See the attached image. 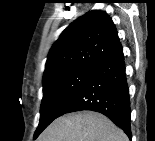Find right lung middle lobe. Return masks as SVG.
Listing matches in <instances>:
<instances>
[{"instance_id": "dd1d6c3e", "label": "right lung middle lobe", "mask_w": 155, "mask_h": 141, "mask_svg": "<svg viewBox=\"0 0 155 141\" xmlns=\"http://www.w3.org/2000/svg\"><path fill=\"white\" fill-rule=\"evenodd\" d=\"M94 68H74L43 80L40 122L34 139L56 118L67 102L90 77Z\"/></svg>"}]
</instances>
